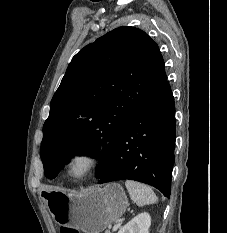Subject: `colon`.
Segmentation results:
<instances>
[{
  "mask_svg": "<svg viewBox=\"0 0 227 233\" xmlns=\"http://www.w3.org/2000/svg\"><path fill=\"white\" fill-rule=\"evenodd\" d=\"M60 233H81V232L75 228L63 227V228H61Z\"/></svg>",
  "mask_w": 227,
  "mask_h": 233,
  "instance_id": "5ec220e1",
  "label": "colon"
}]
</instances>
